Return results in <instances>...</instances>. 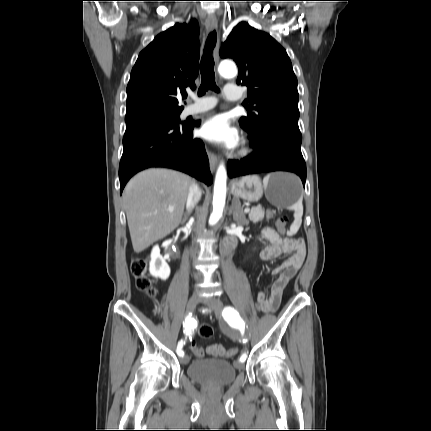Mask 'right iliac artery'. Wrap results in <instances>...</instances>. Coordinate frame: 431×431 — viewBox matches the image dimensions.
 <instances>
[{
	"mask_svg": "<svg viewBox=\"0 0 431 431\" xmlns=\"http://www.w3.org/2000/svg\"><path fill=\"white\" fill-rule=\"evenodd\" d=\"M196 326L194 320L191 318V316H187L185 321L183 322V327H184V333L186 335L190 334L191 330L194 329ZM183 344H185V341L181 340L178 344L177 347V354L179 356H183L184 355V351L182 350Z\"/></svg>",
	"mask_w": 431,
	"mask_h": 431,
	"instance_id": "1",
	"label": "right iliac artery"
}]
</instances>
